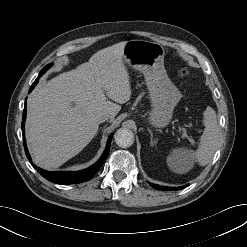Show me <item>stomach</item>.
I'll use <instances>...</instances> for the list:
<instances>
[{
    "label": "stomach",
    "instance_id": "obj_1",
    "mask_svg": "<svg viewBox=\"0 0 247 247\" xmlns=\"http://www.w3.org/2000/svg\"><path fill=\"white\" fill-rule=\"evenodd\" d=\"M123 54L124 62L145 77L152 103L149 121L156 127L166 126L172 119L181 93L164 68L163 46L146 40H129L124 46Z\"/></svg>",
    "mask_w": 247,
    "mask_h": 247
}]
</instances>
